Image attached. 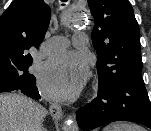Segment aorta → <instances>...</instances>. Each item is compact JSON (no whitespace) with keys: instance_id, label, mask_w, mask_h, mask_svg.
<instances>
[{"instance_id":"obj_1","label":"aorta","mask_w":151,"mask_h":131,"mask_svg":"<svg viewBox=\"0 0 151 131\" xmlns=\"http://www.w3.org/2000/svg\"><path fill=\"white\" fill-rule=\"evenodd\" d=\"M72 23L76 26H81L83 24L81 16L78 15L77 17H75L74 20H72ZM63 131H78V126L73 121V119L68 117V119L65 121L63 125Z\"/></svg>"}]
</instances>
